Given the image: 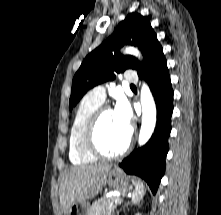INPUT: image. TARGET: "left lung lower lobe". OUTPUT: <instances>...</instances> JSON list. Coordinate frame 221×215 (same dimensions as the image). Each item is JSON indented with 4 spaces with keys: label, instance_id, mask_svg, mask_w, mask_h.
<instances>
[{
    "label": "left lung lower lobe",
    "instance_id": "obj_1",
    "mask_svg": "<svg viewBox=\"0 0 221 215\" xmlns=\"http://www.w3.org/2000/svg\"><path fill=\"white\" fill-rule=\"evenodd\" d=\"M139 76L146 80L154 96L157 107L156 128L151 139L142 148L133 151L119 166L126 173L143 178L155 194L165 172L173 112V90L163 49Z\"/></svg>",
    "mask_w": 221,
    "mask_h": 215
}]
</instances>
